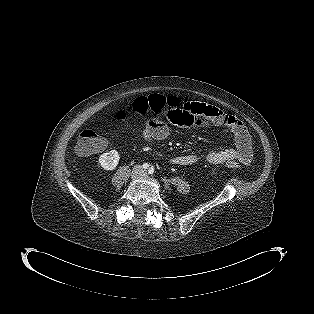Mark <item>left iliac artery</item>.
<instances>
[{
    "label": "left iliac artery",
    "instance_id": "1",
    "mask_svg": "<svg viewBox=\"0 0 314 314\" xmlns=\"http://www.w3.org/2000/svg\"><path fill=\"white\" fill-rule=\"evenodd\" d=\"M148 173L149 174H153L154 173V168L153 167L149 168Z\"/></svg>",
    "mask_w": 314,
    "mask_h": 314
}]
</instances>
